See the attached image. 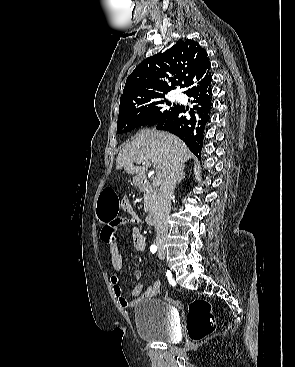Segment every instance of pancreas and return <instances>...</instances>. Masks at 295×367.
<instances>
[{"mask_svg":"<svg viewBox=\"0 0 295 367\" xmlns=\"http://www.w3.org/2000/svg\"><path fill=\"white\" fill-rule=\"evenodd\" d=\"M144 199V211L152 212L157 206V191L155 187H150L143 195Z\"/></svg>","mask_w":295,"mask_h":367,"instance_id":"pancreas-1","label":"pancreas"}]
</instances>
